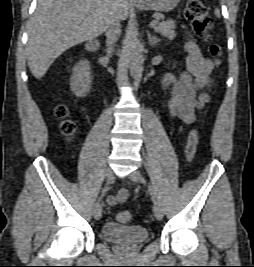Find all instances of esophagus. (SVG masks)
I'll return each instance as SVG.
<instances>
[{
  "label": "esophagus",
  "mask_w": 254,
  "mask_h": 267,
  "mask_svg": "<svg viewBox=\"0 0 254 267\" xmlns=\"http://www.w3.org/2000/svg\"><path fill=\"white\" fill-rule=\"evenodd\" d=\"M131 1H133V2H139V1H142V0H131Z\"/></svg>",
  "instance_id": "34e87169"
}]
</instances>
